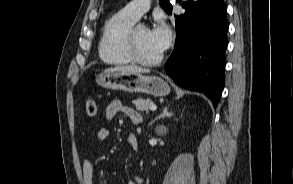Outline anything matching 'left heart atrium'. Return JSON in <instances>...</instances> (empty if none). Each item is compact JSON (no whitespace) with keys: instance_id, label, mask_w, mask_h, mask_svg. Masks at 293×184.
Segmentation results:
<instances>
[{"instance_id":"1","label":"left heart atrium","mask_w":293,"mask_h":184,"mask_svg":"<svg viewBox=\"0 0 293 184\" xmlns=\"http://www.w3.org/2000/svg\"><path fill=\"white\" fill-rule=\"evenodd\" d=\"M149 35L152 42L160 52L167 49L170 44L171 30L164 22L158 23L153 29L149 30Z\"/></svg>"}]
</instances>
